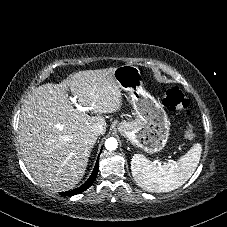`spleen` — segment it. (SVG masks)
Here are the masks:
<instances>
[{
	"label": "spleen",
	"instance_id": "1",
	"mask_svg": "<svg viewBox=\"0 0 227 227\" xmlns=\"http://www.w3.org/2000/svg\"><path fill=\"white\" fill-rule=\"evenodd\" d=\"M202 146L197 143L177 161L155 165L142 154L131 160V171L137 185L149 192H170L188 181L201 157Z\"/></svg>",
	"mask_w": 227,
	"mask_h": 227
}]
</instances>
